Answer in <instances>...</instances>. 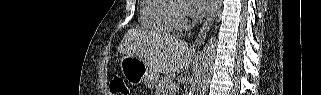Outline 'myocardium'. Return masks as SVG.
I'll return each mask as SVG.
<instances>
[{
  "mask_svg": "<svg viewBox=\"0 0 321 95\" xmlns=\"http://www.w3.org/2000/svg\"><path fill=\"white\" fill-rule=\"evenodd\" d=\"M185 8L177 3L173 10L172 20L176 28L187 29L190 27V22L185 15Z\"/></svg>",
  "mask_w": 321,
  "mask_h": 95,
  "instance_id": "f54148a6",
  "label": "myocardium"
}]
</instances>
